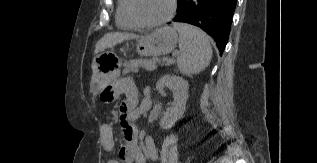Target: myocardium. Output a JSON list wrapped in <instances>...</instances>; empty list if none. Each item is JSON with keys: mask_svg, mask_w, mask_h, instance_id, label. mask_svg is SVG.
<instances>
[{"mask_svg": "<svg viewBox=\"0 0 317 163\" xmlns=\"http://www.w3.org/2000/svg\"><path fill=\"white\" fill-rule=\"evenodd\" d=\"M136 0H128V11L131 16V18L140 26L144 28H155L162 26L169 22L172 17L174 16L176 9H177V0H171L170 1V8L168 13L160 20L157 21H145L143 20L137 13L136 11V6H135Z\"/></svg>", "mask_w": 317, "mask_h": 163, "instance_id": "obj_1", "label": "myocardium"}]
</instances>
